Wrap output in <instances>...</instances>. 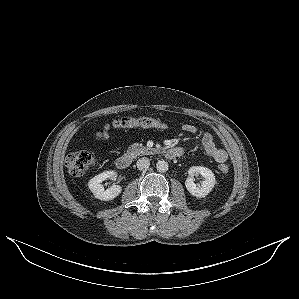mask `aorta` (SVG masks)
I'll return each instance as SVG.
<instances>
[{
  "mask_svg": "<svg viewBox=\"0 0 299 299\" xmlns=\"http://www.w3.org/2000/svg\"><path fill=\"white\" fill-rule=\"evenodd\" d=\"M156 168L159 172H166L168 170V163L164 160H159L156 163Z\"/></svg>",
  "mask_w": 299,
  "mask_h": 299,
  "instance_id": "762f6f07",
  "label": "aorta"
}]
</instances>
